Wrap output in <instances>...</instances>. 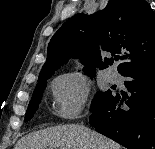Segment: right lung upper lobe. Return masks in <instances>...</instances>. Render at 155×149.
<instances>
[{"label": "right lung upper lobe", "instance_id": "cb5924a9", "mask_svg": "<svg viewBox=\"0 0 155 149\" xmlns=\"http://www.w3.org/2000/svg\"><path fill=\"white\" fill-rule=\"evenodd\" d=\"M112 55L123 53L120 74L155 65V14L145 0H110L91 16L77 14L51 38L39 78L51 77L70 58H83L86 72L107 68L113 59L102 58L99 45Z\"/></svg>", "mask_w": 155, "mask_h": 149}]
</instances>
